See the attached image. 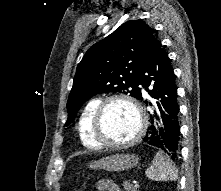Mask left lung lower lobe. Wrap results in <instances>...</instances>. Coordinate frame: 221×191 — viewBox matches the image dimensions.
I'll use <instances>...</instances> for the list:
<instances>
[{
	"label": "left lung lower lobe",
	"mask_w": 221,
	"mask_h": 191,
	"mask_svg": "<svg viewBox=\"0 0 221 191\" xmlns=\"http://www.w3.org/2000/svg\"><path fill=\"white\" fill-rule=\"evenodd\" d=\"M138 85H142L155 99L154 106L158 112L151 116L152 125L144 141L176 160L180 140L177 86L168 54L156 38L139 73ZM149 87L152 89L149 90ZM138 99H142L140 88Z\"/></svg>",
	"instance_id": "obj_1"
}]
</instances>
